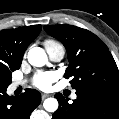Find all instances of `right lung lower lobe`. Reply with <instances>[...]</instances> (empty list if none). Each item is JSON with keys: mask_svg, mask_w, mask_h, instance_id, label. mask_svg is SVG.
<instances>
[{"mask_svg": "<svg viewBox=\"0 0 119 119\" xmlns=\"http://www.w3.org/2000/svg\"><path fill=\"white\" fill-rule=\"evenodd\" d=\"M40 102L41 95L34 89H26L17 97L8 96L6 89L0 90V119H29Z\"/></svg>", "mask_w": 119, "mask_h": 119, "instance_id": "98d812e1", "label": "right lung lower lobe"}]
</instances>
